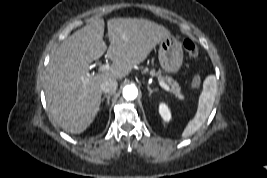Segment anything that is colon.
I'll return each mask as SVG.
<instances>
[{
	"instance_id": "obj_1",
	"label": "colon",
	"mask_w": 267,
	"mask_h": 178,
	"mask_svg": "<svg viewBox=\"0 0 267 178\" xmlns=\"http://www.w3.org/2000/svg\"><path fill=\"white\" fill-rule=\"evenodd\" d=\"M183 47L185 51L193 58H197L199 56V49L197 45L190 39H185L183 41ZM201 84V79L199 76H195L192 80V86L194 88L199 87Z\"/></svg>"
}]
</instances>
